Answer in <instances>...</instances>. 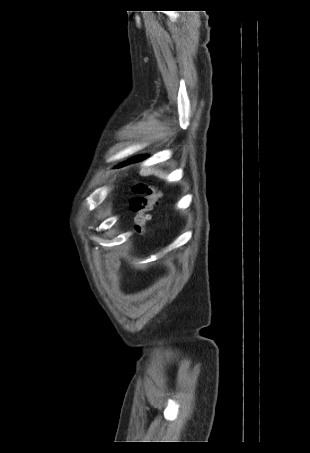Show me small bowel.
<instances>
[{"mask_svg": "<svg viewBox=\"0 0 310 453\" xmlns=\"http://www.w3.org/2000/svg\"><path fill=\"white\" fill-rule=\"evenodd\" d=\"M110 267L112 270H117L120 267L119 259L116 256H112L110 260Z\"/></svg>", "mask_w": 310, "mask_h": 453, "instance_id": "small-bowel-1", "label": "small bowel"}]
</instances>
